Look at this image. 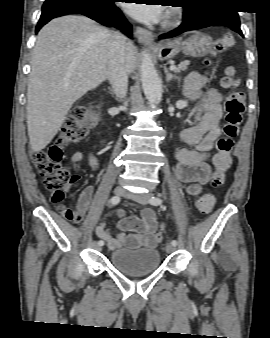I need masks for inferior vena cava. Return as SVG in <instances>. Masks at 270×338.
I'll list each match as a JSON object with an SVG mask.
<instances>
[{
	"label": "inferior vena cava",
	"mask_w": 270,
	"mask_h": 338,
	"mask_svg": "<svg viewBox=\"0 0 270 338\" xmlns=\"http://www.w3.org/2000/svg\"><path fill=\"white\" fill-rule=\"evenodd\" d=\"M127 38L121 33H113L110 40L108 80L117 99L125 98L128 87V72L125 62Z\"/></svg>",
	"instance_id": "602c4592"
}]
</instances>
